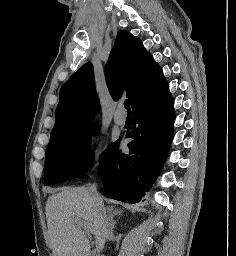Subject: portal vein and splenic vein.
Listing matches in <instances>:
<instances>
[{
    "label": "portal vein and splenic vein",
    "mask_w": 236,
    "mask_h": 256,
    "mask_svg": "<svg viewBox=\"0 0 236 256\" xmlns=\"http://www.w3.org/2000/svg\"><path fill=\"white\" fill-rule=\"evenodd\" d=\"M75 224H77L78 228H84L86 234H91L90 228H88L86 222L84 220H81V218H74Z\"/></svg>",
    "instance_id": "obj_1"
}]
</instances>
